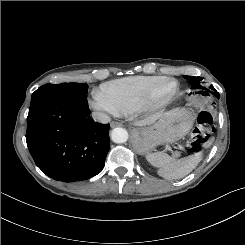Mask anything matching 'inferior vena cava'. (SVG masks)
I'll use <instances>...</instances> for the list:
<instances>
[{"mask_svg": "<svg viewBox=\"0 0 245 245\" xmlns=\"http://www.w3.org/2000/svg\"><path fill=\"white\" fill-rule=\"evenodd\" d=\"M92 117L94 120L99 121L101 123H108L110 122V117L101 112H93Z\"/></svg>", "mask_w": 245, "mask_h": 245, "instance_id": "602c4592", "label": "inferior vena cava"}]
</instances>
